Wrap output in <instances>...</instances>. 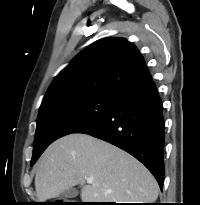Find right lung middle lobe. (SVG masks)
<instances>
[{
	"mask_svg": "<svg viewBox=\"0 0 200 205\" xmlns=\"http://www.w3.org/2000/svg\"><path fill=\"white\" fill-rule=\"evenodd\" d=\"M115 98L77 96L53 103L39 111L31 165L56 139L88 125L112 105Z\"/></svg>",
	"mask_w": 200,
	"mask_h": 205,
	"instance_id": "right-lung-middle-lobe-1",
	"label": "right lung middle lobe"
}]
</instances>
